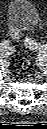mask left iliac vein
I'll use <instances>...</instances> for the list:
<instances>
[{"instance_id": "left-iliac-vein-1", "label": "left iliac vein", "mask_w": 47, "mask_h": 129, "mask_svg": "<svg viewBox=\"0 0 47 129\" xmlns=\"http://www.w3.org/2000/svg\"><path fill=\"white\" fill-rule=\"evenodd\" d=\"M40 56L44 57L46 55V52L45 51H39L38 52Z\"/></svg>"}]
</instances>
